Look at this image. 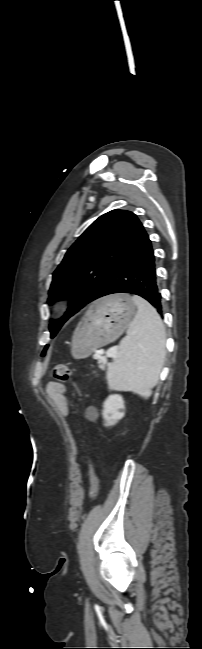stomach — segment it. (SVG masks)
<instances>
[{
  "label": "stomach",
  "instance_id": "obj_1",
  "mask_svg": "<svg viewBox=\"0 0 202 649\" xmlns=\"http://www.w3.org/2000/svg\"><path fill=\"white\" fill-rule=\"evenodd\" d=\"M135 315L136 305L128 294L111 295L94 303L73 333L72 355L90 356L117 338Z\"/></svg>",
  "mask_w": 202,
  "mask_h": 649
}]
</instances>
